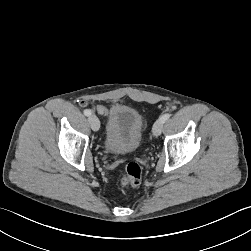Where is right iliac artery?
<instances>
[{
    "label": "right iliac artery",
    "mask_w": 251,
    "mask_h": 251,
    "mask_svg": "<svg viewBox=\"0 0 251 251\" xmlns=\"http://www.w3.org/2000/svg\"><path fill=\"white\" fill-rule=\"evenodd\" d=\"M83 113H84L85 116H90L91 115V111L89 109H85L83 111Z\"/></svg>",
    "instance_id": "right-iliac-artery-1"
}]
</instances>
